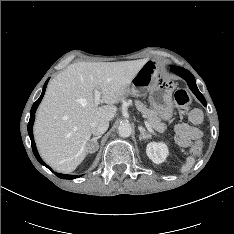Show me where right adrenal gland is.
I'll return each mask as SVG.
<instances>
[{
  "mask_svg": "<svg viewBox=\"0 0 234 234\" xmlns=\"http://www.w3.org/2000/svg\"><path fill=\"white\" fill-rule=\"evenodd\" d=\"M99 138H101V135L96 136V137H93L91 140H89V143H90V142H94V144H95V146H96V149H95V150H90L91 153H92V152H95L96 150H98L99 144H98L97 140H98ZM89 143H88V146H89Z\"/></svg>",
  "mask_w": 234,
  "mask_h": 234,
  "instance_id": "obj_1",
  "label": "right adrenal gland"
}]
</instances>
